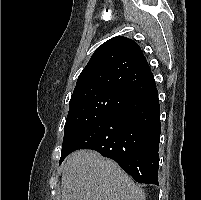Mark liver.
<instances>
[{
  "mask_svg": "<svg viewBox=\"0 0 201 200\" xmlns=\"http://www.w3.org/2000/svg\"><path fill=\"white\" fill-rule=\"evenodd\" d=\"M62 200H145L144 191L112 160L90 150L74 152L62 174Z\"/></svg>",
  "mask_w": 201,
  "mask_h": 200,
  "instance_id": "liver-1",
  "label": "liver"
}]
</instances>
